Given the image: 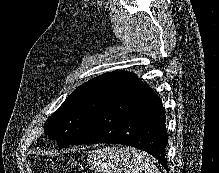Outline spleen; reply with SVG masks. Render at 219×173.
Returning <instances> with one entry per match:
<instances>
[{"instance_id":"3e777b00","label":"spleen","mask_w":219,"mask_h":173,"mask_svg":"<svg viewBox=\"0 0 219 173\" xmlns=\"http://www.w3.org/2000/svg\"><path fill=\"white\" fill-rule=\"evenodd\" d=\"M89 162L97 172L103 173H161L145 154L129 148L96 149Z\"/></svg>"}]
</instances>
